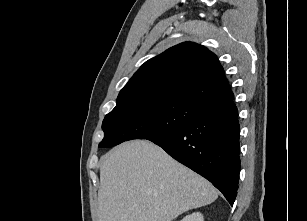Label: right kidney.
I'll use <instances>...</instances> for the list:
<instances>
[{
    "instance_id": "obj_1",
    "label": "right kidney",
    "mask_w": 307,
    "mask_h": 221,
    "mask_svg": "<svg viewBox=\"0 0 307 221\" xmlns=\"http://www.w3.org/2000/svg\"><path fill=\"white\" fill-rule=\"evenodd\" d=\"M181 221H204L203 215L199 212L187 215Z\"/></svg>"
}]
</instances>
